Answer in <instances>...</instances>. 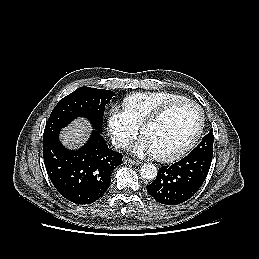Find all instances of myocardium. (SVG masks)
I'll return each instance as SVG.
<instances>
[{
    "label": "myocardium",
    "instance_id": "myocardium-1",
    "mask_svg": "<svg viewBox=\"0 0 259 259\" xmlns=\"http://www.w3.org/2000/svg\"><path fill=\"white\" fill-rule=\"evenodd\" d=\"M180 105H190L198 111V114H199L198 127H197L195 133L193 134V136L185 144H183L180 148L176 149L173 152L166 153V154H154V157L159 161L171 162L176 159H179L180 157L185 155L187 152H189L196 145V143L198 142V140L200 139V137L203 133V129L205 126L204 112H203L202 108L196 102L186 98V99H181V100L170 102V103L164 105L163 107H161L159 110H157L152 115H150L140 125V134L143 135L144 130L148 126L158 122L164 116H166L171 110H173L174 108H176Z\"/></svg>",
    "mask_w": 259,
    "mask_h": 259
}]
</instances>
